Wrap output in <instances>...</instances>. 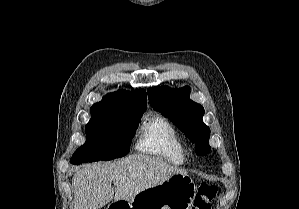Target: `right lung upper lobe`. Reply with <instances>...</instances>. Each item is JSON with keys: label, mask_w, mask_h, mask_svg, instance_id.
Returning <instances> with one entry per match:
<instances>
[{"label": "right lung upper lobe", "mask_w": 299, "mask_h": 209, "mask_svg": "<svg viewBox=\"0 0 299 209\" xmlns=\"http://www.w3.org/2000/svg\"><path fill=\"white\" fill-rule=\"evenodd\" d=\"M147 108V94L144 89L132 92L119 90L109 93L102 101L95 103L91 108L92 113L133 114L144 112Z\"/></svg>", "instance_id": "1"}]
</instances>
